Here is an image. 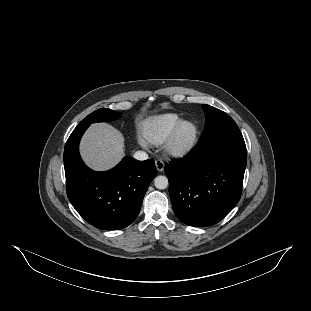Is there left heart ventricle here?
Returning <instances> with one entry per match:
<instances>
[{"instance_id": "1", "label": "left heart ventricle", "mask_w": 311, "mask_h": 311, "mask_svg": "<svg viewBox=\"0 0 311 311\" xmlns=\"http://www.w3.org/2000/svg\"><path fill=\"white\" fill-rule=\"evenodd\" d=\"M191 133H192L191 127H189V126L185 127V128L182 130V132H181L180 140H181L182 142H186V141L189 139Z\"/></svg>"}]
</instances>
